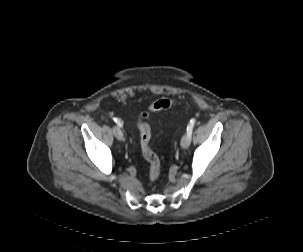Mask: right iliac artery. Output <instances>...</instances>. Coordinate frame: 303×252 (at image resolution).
I'll return each instance as SVG.
<instances>
[{"mask_svg": "<svg viewBox=\"0 0 303 252\" xmlns=\"http://www.w3.org/2000/svg\"><path fill=\"white\" fill-rule=\"evenodd\" d=\"M115 122L117 123V125L119 127H122L123 126V123L120 121V119H117V118H114Z\"/></svg>", "mask_w": 303, "mask_h": 252, "instance_id": "obj_1", "label": "right iliac artery"}]
</instances>
